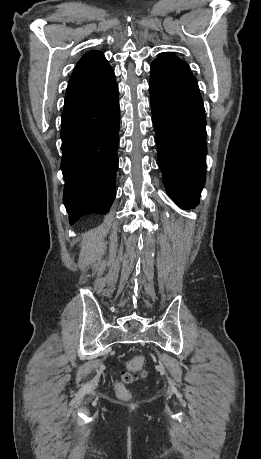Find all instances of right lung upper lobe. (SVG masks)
<instances>
[{"label": "right lung upper lobe", "instance_id": "1", "mask_svg": "<svg viewBox=\"0 0 261 459\" xmlns=\"http://www.w3.org/2000/svg\"><path fill=\"white\" fill-rule=\"evenodd\" d=\"M114 82V72L103 53L88 52L77 63L69 80L63 113L96 98Z\"/></svg>", "mask_w": 261, "mask_h": 459}]
</instances>
